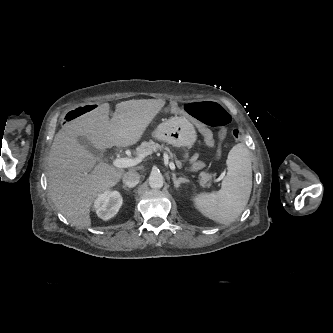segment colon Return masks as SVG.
<instances>
[{
    "instance_id": "obj_1",
    "label": "colon",
    "mask_w": 333,
    "mask_h": 333,
    "mask_svg": "<svg viewBox=\"0 0 333 333\" xmlns=\"http://www.w3.org/2000/svg\"><path fill=\"white\" fill-rule=\"evenodd\" d=\"M94 107L91 105L90 107H86L85 109H77L70 111L66 119L71 121L77 118L82 113H86L89 110L91 111ZM186 111L200 121L205 126H213L219 127V134H218V146L216 150L215 156L218 158L221 151V143L226 137L227 134V126L231 122V117L229 113L218 103L212 101H203V102H196L190 103L185 106ZM230 137L234 140L237 144L240 142L239 139L243 138L242 129L240 126L235 125L231 129Z\"/></svg>"
}]
</instances>
